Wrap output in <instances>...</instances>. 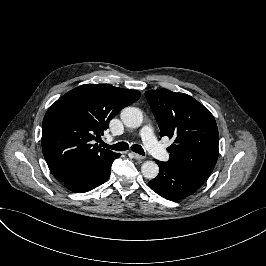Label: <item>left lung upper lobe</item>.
<instances>
[{
    "label": "left lung upper lobe",
    "mask_w": 266,
    "mask_h": 266,
    "mask_svg": "<svg viewBox=\"0 0 266 266\" xmlns=\"http://www.w3.org/2000/svg\"><path fill=\"white\" fill-rule=\"evenodd\" d=\"M160 128L174 139L168 163L206 179L218 158L219 135L208 109L191 96L166 89L145 92Z\"/></svg>",
    "instance_id": "5c2ea615"
}]
</instances>
